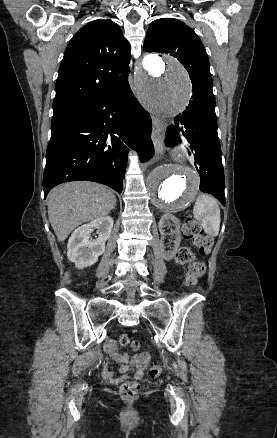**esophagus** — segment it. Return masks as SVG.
Instances as JSON below:
<instances>
[{
	"label": "esophagus",
	"instance_id": "1",
	"mask_svg": "<svg viewBox=\"0 0 277 438\" xmlns=\"http://www.w3.org/2000/svg\"><path fill=\"white\" fill-rule=\"evenodd\" d=\"M136 67H138V71H141V64L139 62H136ZM152 120V132H151V139L153 141V145L159 154H163L164 152V136L162 134L163 130V121L155 116L151 117Z\"/></svg>",
	"mask_w": 277,
	"mask_h": 438
}]
</instances>
